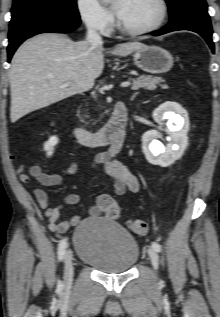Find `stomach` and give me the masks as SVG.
<instances>
[{
    "instance_id": "1",
    "label": "stomach",
    "mask_w": 220,
    "mask_h": 317,
    "mask_svg": "<svg viewBox=\"0 0 220 317\" xmlns=\"http://www.w3.org/2000/svg\"><path fill=\"white\" fill-rule=\"evenodd\" d=\"M133 60L138 68L152 74L169 71L174 62L172 55L159 46H144L136 50Z\"/></svg>"
}]
</instances>
